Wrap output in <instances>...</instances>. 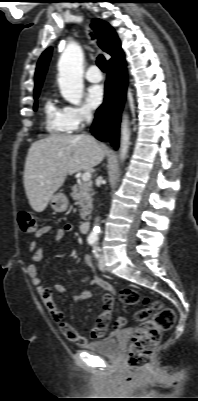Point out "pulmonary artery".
<instances>
[{
	"mask_svg": "<svg viewBox=\"0 0 198 401\" xmlns=\"http://www.w3.org/2000/svg\"><path fill=\"white\" fill-rule=\"evenodd\" d=\"M85 78L91 83H98L103 79V75L96 65H92L86 71Z\"/></svg>",
	"mask_w": 198,
	"mask_h": 401,
	"instance_id": "e3ab8cb5",
	"label": "pulmonary artery"
}]
</instances>
